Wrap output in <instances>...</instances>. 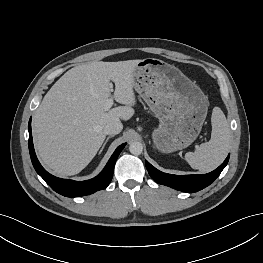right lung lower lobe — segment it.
Here are the masks:
<instances>
[{
    "instance_id": "right-lung-lower-lobe-1",
    "label": "right lung lower lobe",
    "mask_w": 263,
    "mask_h": 263,
    "mask_svg": "<svg viewBox=\"0 0 263 263\" xmlns=\"http://www.w3.org/2000/svg\"><path fill=\"white\" fill-rule=\"evenodd\" d=\"M29 130V152L32 164L36 170V172L45 180V182L57 193L66 196V197H79L85 196L96 191L105 189L111 182L115 162L125 147V143L120 145L111 158L109 159L108 163L102 170V172L93 179L86 180V181H73L68 179H61L57 178L51 174H49L39 163L33 146L32 140V131H31V119L29 120L28 125Z\"/></svg>"
}]
</instances>
